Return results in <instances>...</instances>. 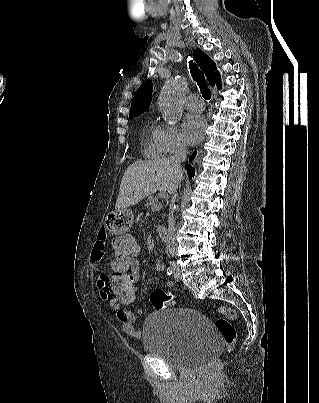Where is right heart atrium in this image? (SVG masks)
I'll list each match as a JSON object with an SVG mask.
<instances>
[{
	"label": "right heart atrium",
	"mask_w": 319,
	"mask_h": 403,
	"mask_svg": "<svg viewBox=\"0 0 319 403\" xmlns=\"http://www.w3.org/2000/svg\"><path fill=\"white\" fill-rule=\"evenodd\" d=\"M158 127L159 142L163 154L171 155L184 149L183 137L176 126L162 124Z\"/></svg>",
	"instance_id": "1"
}]
</instances>
